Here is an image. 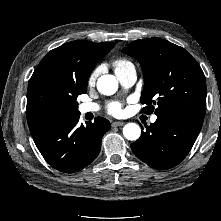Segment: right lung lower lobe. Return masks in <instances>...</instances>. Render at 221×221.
Segmentation results:
<instances>
[{
    "mask_svg": "<svg viewBox=\"0 0 221 221\" xmlns=\"http://www.w3.org/2000/svg\"><path fill=\"white\" fill-rule=\"evenodd\" d=\"M80 113H57L29 124L34 142L44 159L55 169L77 172L99 154L101 140L110 128L102 117L78 124Z\"/></svg>",
    "mask_w": 221,
    "mask_h": 221,
    "instance_id": "1",
    "label": "right lung lower lobe"
}]
</instances>
